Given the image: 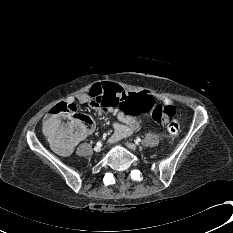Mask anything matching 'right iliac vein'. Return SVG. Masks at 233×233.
<instances>
[{"instance_id":"63e3f726","label":"right iliac vein","mask_w":233,"mask_h":233,"mask_svg":"<svg viewBox=\"0 0 233 233\" xmlns=\"http://www.w3.org/2000/svg\"><path fill=\"white\" fill-rule=\"evenodd\" d=\"M94 150H95L96 152H100V151H101V147L96 146V147L94 148Z\"/></svg>"}]
</instances>
